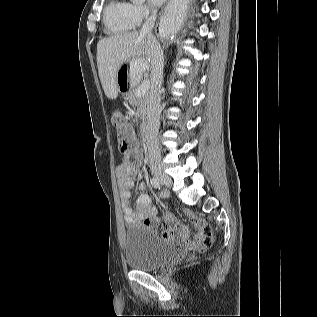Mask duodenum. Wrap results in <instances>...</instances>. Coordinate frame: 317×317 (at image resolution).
I'll use <instances>...</instances> for the list:
<instances>
[{"instance_id":"obj_1","label":"duodenum","mask_w":317,"mask_h":317,"mask_svg":"<svg viewBox=\"0 0 317 317\" xmlns=\"http://www.w3.org/2000/svg\"><path fill=\"white\" fill-rule=\"evenodd\" d=\"M141 137L145 142H148L149 139V129L147 124L141 126Z\"/></svg>"}]
</instances>
